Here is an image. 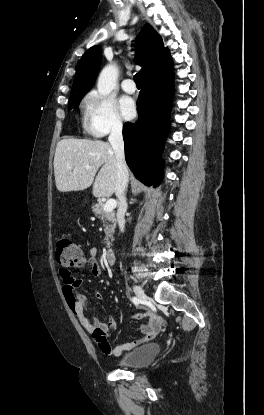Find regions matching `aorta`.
I'll use <instances>...</instances> for the list:
<instances>
[{
	"mask_svg": "<svg viewBox=\"0 0 264 415\" xmlns=\"http://www.w3.org/2000/svg\"><path fill=\"white\" fill-rule=\"evenodd\" d=\"M118 76V70L114 65H107L101 71L98 82L97 90L102 95H109L114 89Z\"/></svg>",
	"mask_w": 264,
	"mask_h": 415,
	"instance_id": "obj_1",
	"label": "aorta"
}]
</instances>
